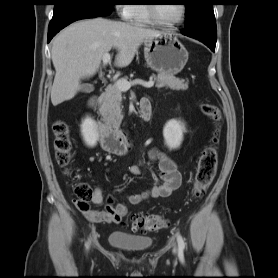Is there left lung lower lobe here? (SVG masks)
Wrapping results in <instances>:
<instances>
[{"label": "left lung lower lobe", "mask_w": 278, "mask_h": 278, "mask_svg": "<svg viewBox=\"0 0 278 278\" xmlns=\"http://www.w3.org/2000/svg\"><path fill=\"white\" fill-rule=\"evenodd\" d=\"M182 34L197 39L207 45L213 52L215 51L216 46V40L213 38H210L207 34L204 33V31L200 28H190L185 29L181 32Z\"/></svg>", "instance_id": "obj_1"}]
</instances>
